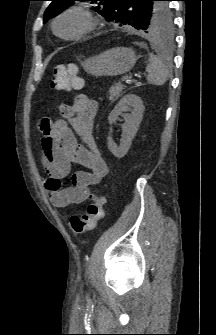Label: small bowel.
Returning a JSON list of instances; mask_svg holds the SVG:
<instances>
[{
	"mask_svg": "<svg viewBox=\"0 0 216 335\" xmlns=\"http://www.w3.org/2000/svg\"><path fill=\"white\" fill-rule=\"evenodd\" d=\"M56 114L62 118L41 119L38 130L42 134L40 155L47 174L44 186L55 207L63 208L88 200L90 189L107 175L108 167L97 147L93 124L98 110L97 102L85 94L75 96L72 104L55 100ZM81 143L77 141V137ZM72 165L87 171L70 175ZM70 175V186L63 180Z\"/></svg>",
	"mask_w": 216,
	"mask_h": 335,
	"instance_id": "obj_1",
	"label": "small bowel"
}]
</instances>
